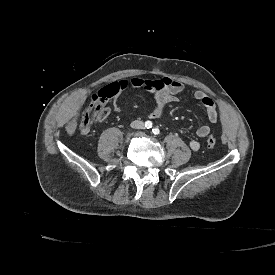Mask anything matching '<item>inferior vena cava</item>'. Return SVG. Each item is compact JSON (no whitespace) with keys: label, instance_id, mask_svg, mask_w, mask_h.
Wrapping results in <instances>:
<instances>
[{"label":"inferior vena cava","instance_id":"602c4592","mask_svg":"<svg viewBox=\"0 0 275 275\" xmlns=\"http://www.w3.org/2000/svg\"><path fill=\"white\" fill-rule=\"evenodd\" d=\"M131 127L136 129H141L144 127V123L142 121L135 120L131 123Z\"/></svg>","mask_w":275,"mask_h":275}]
</instances>
